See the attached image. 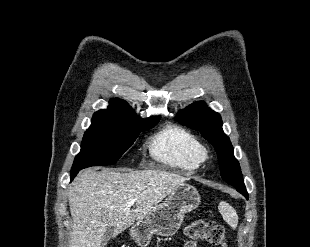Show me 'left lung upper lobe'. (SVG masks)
Wrapping results in <instances>:
<instances>
[{"label": "left lung upper lobe", "instance_id": "obj_1", "mask_svg": "<svg viewBox=\"0 0 310 247\" xmlns=\"http://www.w3.org/2000/svg\"><path fill=\"white\" fill-rule=\"evenodd\" d=\"M175 119L187 127L198 130L210 142L219 159L222 178L230 185L244 184L239 162L234 157L233 147L222 130L221 116L202 101L195 102L180 111Z\"/></svg>", "mask_w": 310, "mask_h": 247}]
</instances>
